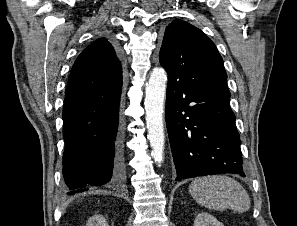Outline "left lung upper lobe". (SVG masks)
<instances>
[{
    "instance_id": "1",
    "label": "left lung upper lobe",
    "mask_w": 297,
    "mask_h": 226,
    "mask_svg": "<svg viewBox=\"0 0 297 226\" xmlns=\"http://www.w3.org/2000/svg\"><path fill=\"white\" fill-rule=\"evenodd\" d=\"M159 59L168 76L176 81L203 91H229L215 44L187 22L175 20L167 26Z\"/></svg>"
}]
</instances>
